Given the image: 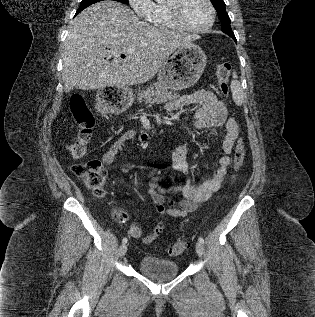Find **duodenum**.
Wrapping results in <instances>:
<instances>
[{"label": "duodenum", "mask_w": 315, "mask_h": 317, "mask_svg": "<svg viewBox=\"0 0 315 317\" xmlns=\"http://www.w3.org/2000/svg\"><path fill=\"white\" fill-rule=\"evenodd\" d=\"M154 135H155V131L150 130V131H148V132L143 133L142 136H141V138H142V140H148V139L153 138Z\"/></svg>", "instance_id": "1"}]
</instances>
